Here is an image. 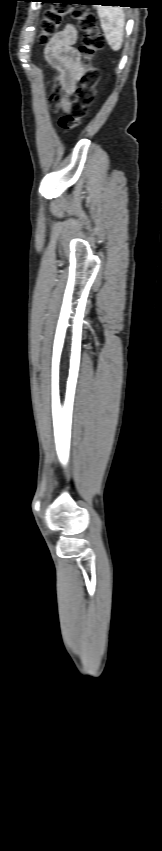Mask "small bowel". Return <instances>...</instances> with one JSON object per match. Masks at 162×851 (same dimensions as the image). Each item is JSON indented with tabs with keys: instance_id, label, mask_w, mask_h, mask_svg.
Listing matches in <instances>:
<instances>
[{
	"instance_id": "obj_1",
	"label": "small bowel",
	"mask_w": 162,
	"mask_h": 851,
	"mask_svg": "<svg viewBox=\"0 0 162 851\" xmlns=\"http://www.w3.org/2000/svg\"><path fill=\"white\" fill-rule=\"evenodd\" d=\"M78 33L74 25L69 24L60 30L46 45L44 54L49 64L59 72L55 93L51 97L54 107L66 112L69 97L74 93L78 81L83 75L81 55L75 44ZM59 91L64 95L60 97Z\"/></svg>"
}]
</instances>
